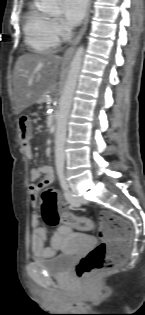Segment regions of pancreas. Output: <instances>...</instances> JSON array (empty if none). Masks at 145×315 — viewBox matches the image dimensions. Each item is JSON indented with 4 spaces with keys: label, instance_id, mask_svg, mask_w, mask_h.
I'll list each match as a JSON object with an SVG mask.
<instances>
[{
    "label": "pancreas",
    "instance_id": "pancreas-1",
    "mask_svg": "<svg viewBox=\"0 0 145 315\" xmlns=\"http://www.w3.org/2000/svg\"><path fill=\"white\" fill-rule=\"evenodd\" d=\"M47 100V98L45 97V96H43L41 99H40V102H44V101H46Z\"/></svg>",
    "mask_w": 145,
    "mask_h": 315
}]
</instances>
